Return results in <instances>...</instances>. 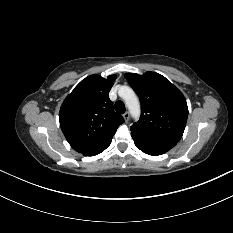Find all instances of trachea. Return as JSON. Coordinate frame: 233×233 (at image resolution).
Instances as JSON below:
<instances>
[{"label":"trachea","instance_id":"obj_1","mask_svg":"<svg viewBox=\"0 0 233 233\" xmlns=\"http://www.w3.org/2000/svg\"><path fill=\"white\" fill-rule=\"evenodd\" d=\"M115 110L116 112L123 114L125 112V105L122 101H117L115 103Z\"/></svg>","mask_w":233,"mask_h":233}]
</instances>
